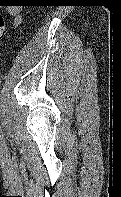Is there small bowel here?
Instances as JSON below:
<instances>
[{
	"instance_id": "obj_1",
	"label": "small bowel",
	"mask_w": 121,
	"mask_h": 197,
	"mask_svg": "<svg viewBox=\"0 0 121 197\" xmlns=\"http://www.w3.org/2000/svg\"><path fill=\"white\" fill-rule=\"evenodd\" d=\"M8 12H9V14H10L11 16L14 17V21H13L14 25H15V26L18 25L19 22H20V16H19L20 10H19V8H18V7H10V8L8 9Z\"/></svg>"
}]
</instances>
